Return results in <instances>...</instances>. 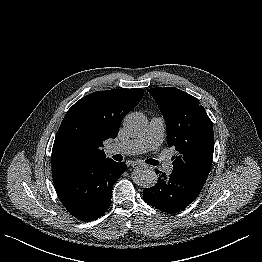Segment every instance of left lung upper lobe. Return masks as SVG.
Returning a JSON list of instances; mask_svg holds the SVG:
<instances>
[{
    "label": "left lung upper lobe",
    "mask_w": 262,
    "mask_h": 262,
    "mask_svg": "<svg viewBox=\"0 0 262 262\" xmlns=\"http://www.w3.org/2000/svg\"><path fill=\"white\" fill-rule=\"evenodd\" d=\"M167 129V144L175 147L173 172L205 183L212 166L213 126L197 98L173 87L152 88Z\"/></svg>",
    "instance_id": "left-lung-upper-lobe-1"
}]
</instances>
